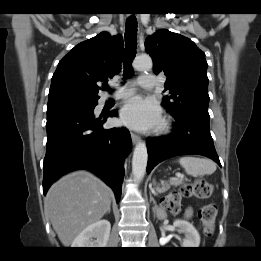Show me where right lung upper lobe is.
Masks as SVG:
<instances>
[{"label": "right lung upper lobe", "instance_id": "cb5924a9", "mask_svg": "<svg viewBox=\"0 0 261 261\" xmlns=\"http://www.w3.org/2000/svg\"><path fill=\"white\" fill-rule=\"evenodd\" d=\"M122 58L121 35L111 36L108 32H101L79 43L58 63L48 100L73 97L97 101L98 83L107 84L108 78L120 72Z\"/></svg>", "mask_w": 261, "mask_h": 261}]
</instances>
